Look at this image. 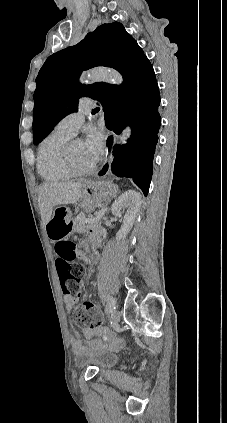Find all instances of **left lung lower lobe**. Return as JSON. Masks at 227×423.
I'll use <instances>...</instances> for the list:
<instances>
[{
    "mask_svg": "<svg viewBox=\"0 0 227 423\" xmlns=\"http://www.w3.org/2000/svg\"><path fill=\"white\" fill-rule=\"evenodd\" d=\"M159 106V88L152 71L132 92L127 108L105 111V125L116 134H120L128 123L132 126L128 143L121 147L114 146L115 157L111 169L118 177L131 178L145 196L151 182L153 156L161 125Z\"/></svg>",
    "mask_w": 227,
    "mask_h": 423,
    "instance_id": "obj_1",
    "label": "left lung lower lobe"
}]
</instances>
